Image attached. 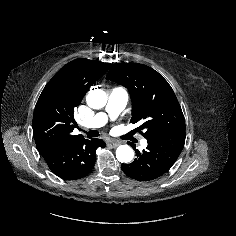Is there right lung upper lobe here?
I'll return each instance as SVG.
<instances>
[{"label": "right lung upper lobe", "instance_id": "cb5924a9", "mask_svg": "<svg viewBox=\"0 0 236 236\" xmlns=\"http://www.w3.org/2000/svg\"><path fill=\"white\" fill-rule=\"evenodd\" d=\"M110 64L84 58L62 67L44 87L34 110L32 128L37 148L68 145L81 135H73L74 109Z\"/></svg>", "mask_w": 236, "mask_h": 236}]
</instances>
